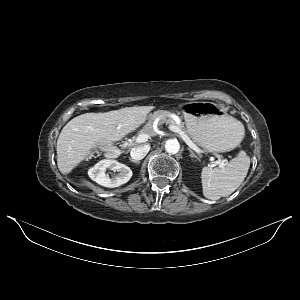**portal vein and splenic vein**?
I'll return each mask as SVG.
<instances>
[{"mask_svg":"<svg viewBox=\"0 0 300 300\" xmlns=\"http://www.w3.org/2000/svg\"><path fill=\"white\" fill-rule=\"evenodd\" d=\"M169 129H170L171 131H173V132L179 134V136L185 141V143H186L191 149H193L195 152H197V153H202V152H203L200 148H198V147L193 143V141L190 139V137H188V135H187L185 132H183L180 128H178L177 126H174V125H170V126H169ZM148 138H149V135H147V134H145V133H142V134H140V135L136 138V143H145V142H147ZM216 157L219 158V159L221 158V156L218 155V154H216ZM224 165H225L224 162L220 160L219 166L223 168Z\"/></svg>","mask_w":300,"mask_h":300,"instance_id":"1","label":"portal vein and splenic vein"}]
</instances>
